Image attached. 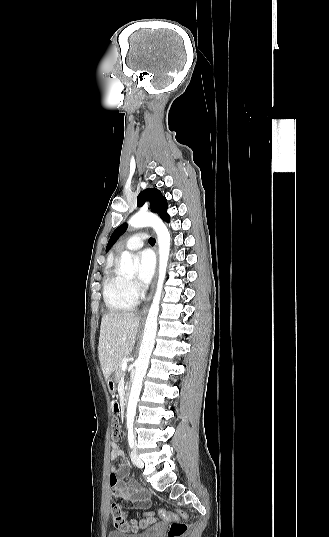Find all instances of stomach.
I'll use <instances>...</instances> for the list:
<instances>
[{
  "label": "stomach",
  "mask_w": 329,
  "mask_h": 537,
  "mask_svg": "<svg viewBox=\"0 0 329 537\" xmlns=\"http://www.w3.org/2000/svg\"><path fill=\"white\" fill-rule=\"evenodd\" d=\"M116 382H117V380H116L115 374H111L110 377L107 380L108 388H109L110 391L115 390Z\"/></svg>",
  "instance_id": "stomach-1"
}]
</instances>
